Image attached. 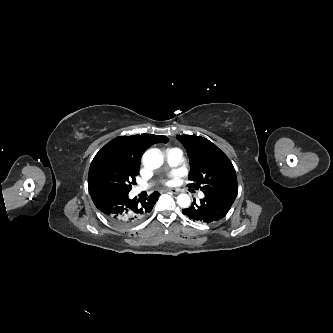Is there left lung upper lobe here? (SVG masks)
<instances>
[{
    "instance_id": "5c2ea615",
    "label": "left lung upper lobe",
    "mask_w": 333,
    "mask_h": 333,
    "mask_svg": "<svg viewBox=\"0 0 333 333\" xmlns=\"http://www.w3.org/2000/svg\"><path fill=\"white\" fill-rule=\"evenodd\" d=\"M187 150L190 173L188 187L206 195L235 200L238 192L235 169L229 158L211 141L200 136L177 135Z\"/></svg>"
}]
</instances>
